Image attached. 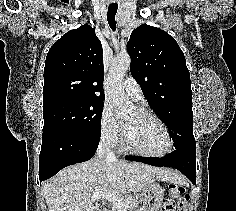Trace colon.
Returning <instances> with one entry per match:
<instances>
[{
  "label": "colon",
  "mask_w": 236,
  "mask_h": 211,
  "mask_svg": "<svg viewBox=\"0 0 236 211\" xmlns=\"http://www.w3.org/2000/svg\"><path fill=\"white\" fill-rule=\"evenodd\" d=\"M169 195L170 199L162 211H174L178 205L187 202L189 199L185 187L179 184L169 185Z\"/></svg>",
  "instance_id": "obj_1"
}]
</instances>
